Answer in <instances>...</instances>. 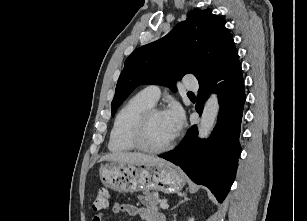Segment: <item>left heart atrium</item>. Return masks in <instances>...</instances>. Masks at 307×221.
<instances>
[{
	"label": "left heart atrium",
	"mask_w": 307,
	"mask_h": 221,
	"mask_svg": "<svg viewBox=\"0 0 307 221\" xmlns=\"http://www.w3.org/2000/svg\"><path fill=\"white\" fill-rule=\"evenodd\" d=\"M173 135H177L184 123V113L178 104H173L166 112Z\"/></svg>",
	"instance_id": "1"
}]
</instances>
